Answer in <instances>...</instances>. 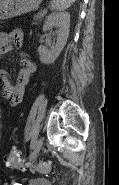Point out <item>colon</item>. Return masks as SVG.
Listing matches in <instances>:
<instances>
[{
	"mask_svg": "<svg viewBox=\"0 0 119 185\" xmlns=\"http://www.w3.org/2000/svg\"><path fill=\"white\" fill-rule=\"evenodd\" d=\"M4 160L6 165L12 169L21 167L23 165L21 153L16 147H13L10 150L8 155L5 156ZM28 167L31 171L34 172L46 173L50 171V166L43 162L31 163Z\"/></svg>",
	"mask_w": 119,
	"mask_h": 185,
	"instance_id": "5ec220e1",
	"label": "colon"
}]
</instances>
